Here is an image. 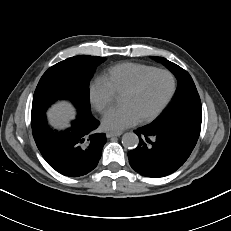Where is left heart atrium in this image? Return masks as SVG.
<instances>
[{
	"instance_id": "left-heart-atrium-1",
	"label": "left heart atrium",
	"mask_w": 231,
	"mask_h": 231,
	"mask_svg": "<svg viewBox=\"0 0 231 231\" xmlns=\"http://www.w3.org/2000/svg\"><path fill=\"white\" fill-rule=\"evenodd\" d=\"M139 117L129 105H121L107 112L102 119L105 130L119 132L139 122Z\"/></svg>"
}]
</instances>
